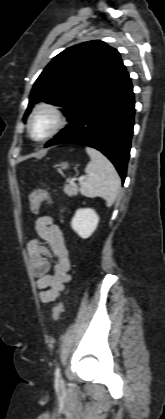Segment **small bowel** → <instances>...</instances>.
Returning a JSON list of instances; mask_svg holds the SVG:
<instances>
[{"label": "small bowel", "instance_id": "small-bowel-1", "mask_svg": "<svg viewBox=\"0 0 165 419\" xmlns=\"http://www.w3.org/2000/svg\"><path fill=\"white\" fill-rule=\"evenodd\" d=\"M35 231L37 238L28 243L27 252L36 286L40 290V300L49 303L58 298L71 280V256L62 230L52 217H39L35 222ZM51 256L56 259L53 265L50 262Z\"/></svg>", "mask_w": 165, "mask_h": 419}]
</instances>
